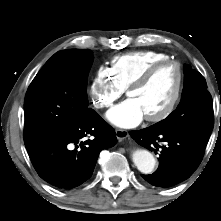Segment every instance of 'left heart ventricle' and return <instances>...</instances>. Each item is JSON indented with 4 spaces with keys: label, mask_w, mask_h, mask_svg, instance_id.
I'll return each mask as SVG.
<instances>
[{
    "label": "left heart ventricle",
    "mask_w": 221,
    "mask_h": 221,
    "mask_svg": "<svg viewBox=\"0 0 221 221\" xmlns=\"http://www.w3.org/2000/svg\"><path fill=\"white\" fill-rule=\"evenodd\" d=\"M177 80L176 68L172 65L165 66L144 87L131 91L129 97L138 101L145 117L155 115L171 101Z\"/></svg>",
    "instance_id": "left-heart-ventricle-1"
}]
</instances>
